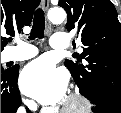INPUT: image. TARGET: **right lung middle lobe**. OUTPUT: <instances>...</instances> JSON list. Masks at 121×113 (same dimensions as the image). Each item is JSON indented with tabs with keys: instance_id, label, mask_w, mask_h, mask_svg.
Returning <instances> with one entry per match:
<instances>
[{
	"instance_id": "obj_1",
	"label": "right lung middle lobe",
	"mask_w": 121,
	"mask_h": 113,
	"mask_svg": "<svg viewBox=\"0 0 121 113\" xmlns=\"http://www.w3.org/2000/svg\"><path fill=\"white\" fill-rule=\"evenodd\" d=\"M4 70H3V68H2V66H1V72H3Z\"/></svg>"
}]
</instances>
